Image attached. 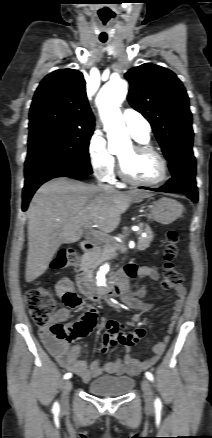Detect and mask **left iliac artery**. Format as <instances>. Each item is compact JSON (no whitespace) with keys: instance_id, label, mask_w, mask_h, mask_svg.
Wrapping results in <instances>:
<instances>
[{"instance_id":"left-iliac-artery-1","label":"left iliac artery","mask_w":212,"mask_h":438,"mask_svg":"<svg viewBox=\"0 0 212 438\" xmlns=\"http://www.w3.org/2000/svg\"><path fill=\"white\" fill-rule=\"evenodd\" d=\"M145 375H146V377H147L150 381H153V375H152L150 372H146ZM155 405H156L157 407H161V406H162L161 401H160L159 398H157V399L155 400Z\"/></svg>"}]
</instances>
